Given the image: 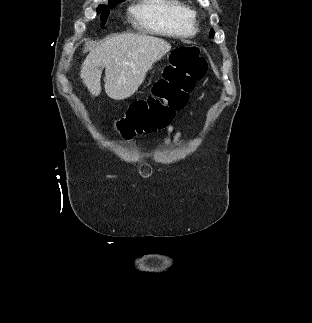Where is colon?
Returning <instances> with one entry per match:
<instances>
[{"label":"colon","instance_id":"5ec220e1","mask_svg":"<svg viewBox=\"0 0 312 323\" xmlns=\"http://www.w3.org/2000/svg\"><path fill=\"white\" fill-rule=\"evenodd\" d=\"M206 70V62L196 47L174 49L164 78L158 79L154 87L156 96L132 102L128 112L116 121L119 134L130 138L165 129L174 121L173 112L185 105L195 81L202 79Z\"/></svg>","mask_w":312,"mask_h":323}]
</instances>
